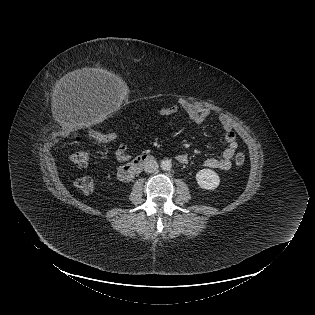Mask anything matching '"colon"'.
Instances as JSON below:
<instances>
[{"label": "colon", "instance_id": "obj_1", "mask_svg": "<svg viewBox=\"0 0 315 315\" xmlns=\"http://www.w3.org/2000/svg\"><path fill=\"white\" fill-rule=\"evenodd\" d=\"M93 137L100 142H110L114 139L111 134L94 133ZM74 150L70 154V160L79 167H85L90 160L89 153L81 147V139L77 136L73 138ZM245 162V155L241 152L235 156V163L242 165ZM76 187L84 194L94 191L95 180L92 176H82L75 182Z\"/></svg>", "mask_w": 315, "mask_h": 315}]
</instances>
